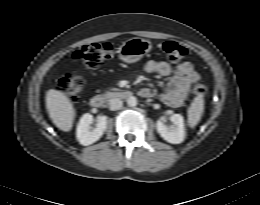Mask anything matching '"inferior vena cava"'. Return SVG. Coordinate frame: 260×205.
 Segmentation results:
<instances>
[{"mask_svg":"<svg viewBox=\"0 0 260 205\" xmlns=\"http://www.w3.org/2000/svg\"><path fill=\"white\" fill-rule=\"evenodd\" d=\"M123 102L119 98H112L109 100V108L112 111L121 109Z\"/></svg>","mask_w":260,"mask_h":205,"instance_id":"obj_1","label":"inferior vena cava"}]
</instances>
